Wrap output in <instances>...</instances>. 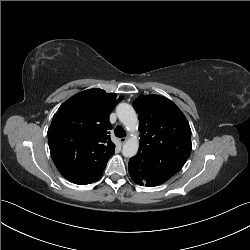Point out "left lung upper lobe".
<instances>
[{
	"mask_svg": "<svg viewBox=\"0 0 250 250\" xmlns=\"http://www.w3.org/2000/svg\"><path fill=\"white\" fill-rule=\"evenodd\" d=\"M140 121L139 150L156 165L180 170L190 156L191 129L181 110L158 95H140L133 102Z\"/></svg>",
	"mask_w": 250,
	"mask_h": 250,
	"instance_id": "5c2ea615",
	"label": "left lung upper lobe"
}]
</instances>
